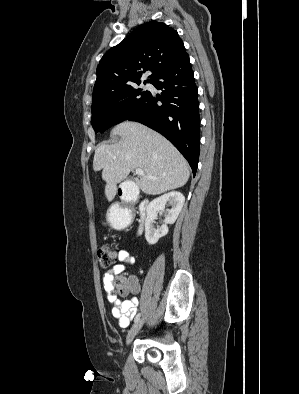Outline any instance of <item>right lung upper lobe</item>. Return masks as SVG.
<instances>
[{"mask_svg":"<svg viewBox=\"0 0 299 394\" xmlns=\"http://www.w3.org/2000/svg\"><path fill=\"white\" fill-rule=\"evenodd\" d=\"M186 54L177 31L165 23L147 22L104 54L93 93L138 83L148 69L152 74L147 82L151 83Z\"/></svg>","mask_w":299,"mask_h":394,"instance_id":"right-lung-upper-lobe-1","label":"right lung upper lobe"}]
</instances>
